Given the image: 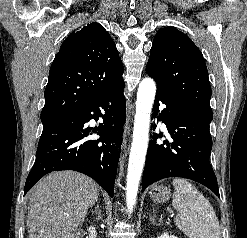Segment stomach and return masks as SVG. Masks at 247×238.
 Listing matches in <instances>:
<instances>
[{
	"label": "stomach",
	"mask_w": 247,
	"mask_h": 238,
	"mask_svg": "<svg viewBox=\"0 0 247 238\" xmlns=\"http://www.w3.org/2000/svg\"><path fill=\"white\" fill-rule=\"evenodd\" d=\"M149 194L152 200L157 203H165L171 196L170 189L163 185H155L152 187Z\"/></svg>",
	"instance_id": "obj_1"
}]
</instances>
